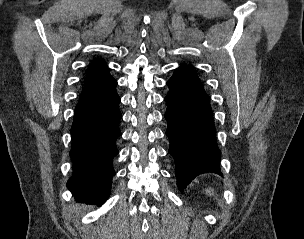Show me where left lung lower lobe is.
Returning a JSON list of instances; mask_svg holds the SVG:
<instances>
[{
  "label": "left lung lower lobe",
  "instance_id": "left-lung-lower-lobe-1",
  "mask_svg": "<svg viewBox=\"0 0 304 239\" xmlns=\"http://www.w3.org/2000/svg\"><path fill=\"white\" fill-rule=\"evenodd\" d=\"M167 86L168 153L174 158L177 185L183 191L200 174H220L221 152L215 139L211 106L194 70L179 67Z\"/></svg>",
  "mask_w": 304,
  "mask_h": 239
}]
</instances>
